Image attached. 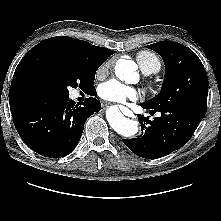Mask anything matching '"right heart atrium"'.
I'll use <instances>...</instances> for the list:
<instances>
[{"instance_id":"obj_1","label":"right heart atrium","mask_w":221,"mask_h":221,"mask_svg":"<svg viewBox=\"0 0 221 221\" xmlns=\"http://www.w3.org/2000/svg\"><path fill=\"white\" fill-rule=\"evenodd\" d=\"M105 67L103 66V67H101L100 69H99V72H101L103 69H104Z\"/></svg>"}]
</instances>
